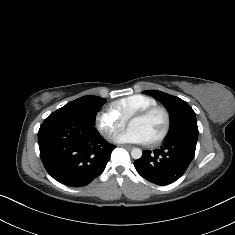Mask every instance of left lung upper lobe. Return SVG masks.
<instances>
[{
  "label": "left lung upper lobe",
  "instance_id": "left-lung-upper-lobe-1",
  "mask_svg": "<svg viewBox=\"0 0 235 235\" xmlns=\"http://www.w3.org/2000/svg\"><path fill=\"white\" fill-rule=\"evenodd\" d=\"M144 93L161 101L170 113L171 127L167 140L185 138L197 142L196 114L187 102L157 90H146Z\"/></svg>",
  "mask_w": 235,
  "mask_h": 235
}]
</instances>
